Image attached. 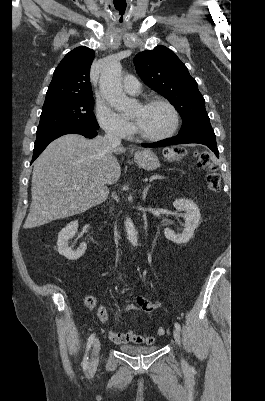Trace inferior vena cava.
<instances>
[{
    "label": "inferior vena cava",
    "mask_w": 265,
    "mask_h": 401,
    "mask_svg": "<svg viewBox=\"0 0 265 401\" xmlns=\"http://www.w3.org/2000/svg\"><path fill=\"white\" fill-rule=\"evenodd\" d=\"M104 138H107V140L111 142L112 146H117V144H121V138H118L116 132H113V130H110V128L106 130Z\"/></svg>",
    "instance_id": "obj_1"
}]
</instances>
